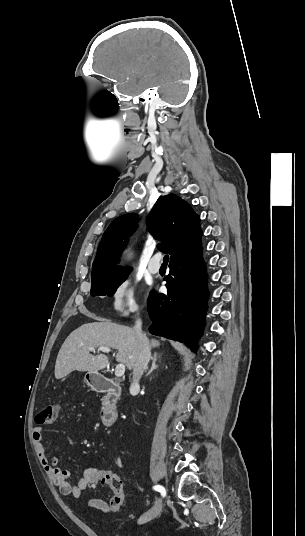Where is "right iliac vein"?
Returning <instances> with one entry per match:
<instances>
[{"label": "right iliac vein", "mask_w": 305, "mask_h": 536, "mask_svg": "<svg viewBox=\"0 0 305 536\" xmlns=\"http://www.w3.org/2000/svg\"><path fill=\"white\" fill-rule=\"evenodd\" d=\"M161 508H162V501H161V499H157V501L155 502L154 506L148 512H146L144 515H142L139 518V524L146 523V522L156 518L159 515V513L161 512Z\"/></svg>", "instance_id": "1"}]
</instances>
